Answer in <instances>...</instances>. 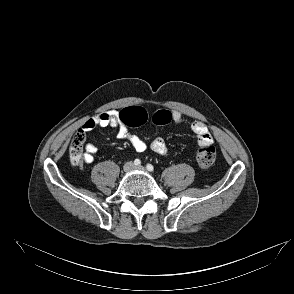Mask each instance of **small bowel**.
Masks as SVG:
<instances>
[{"instance_id":"1","label":"small bowel","mask_w":294,"mask_h":294,"mask_svg":"<svg viewBox=\"0 0 294 294\" xmlns=\"http://www.w3.org/2000/svg\"><path fill=\"white\" fill-rule=\"evenodd\" d=\"M171 115L172 121L175 124H181L183 122V115L181 112L173 110L171 111ZM96 127H111L116 129L118 138L127 140L137 152H143L148 147L159 155H166L168 152L166 142L161 137H156L150 142V144H147L139 136L131 134L125 125L120 121V111L118 110H109L90 118L83 124L82 131H91ZM191 129L198 137V146L200 148L210 146L213 143L209 129L203 122H193L191 124ZM96 153V146L90 143L87 144L86 152L84 154V161L86 163L93 162Z\"/></svg>"}]
</instances>
